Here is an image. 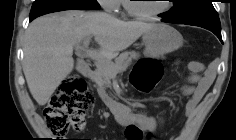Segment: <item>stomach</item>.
I'll use <instances>...</instances> for the list:
<instances>
[{
    "mask_svg": "<svg viewBox=\"0 0 236 140\" xmlns=\"http://www.w3.org/2000/svg\"><path fill=\"white\" fill-rule=\"evenodd\" d=\"M144 54L159 56L176 51L183 45L182 35L170 25L160 23L143 33Z\"/></svg>",
    "mask_w": 236,
    "mask_h": 140,
    "instance_id": "stomach-1",
    "label": "stomach"
}]
</instances>
